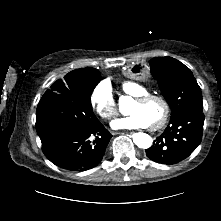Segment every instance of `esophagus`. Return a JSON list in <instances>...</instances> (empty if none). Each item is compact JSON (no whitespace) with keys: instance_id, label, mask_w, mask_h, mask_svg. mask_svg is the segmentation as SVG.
Returning a JSON list of instances; mask_svg holds the SVG:
<instances>
[{"instance_id":"34e87169","label":"esophagus","mask_w":221,"mask_h":221,"mask_svg":"<svg viewBox=\"0 0 221 221\" xmlns=\"http://www.w3.org/2000/svg\"><path fill=\"white\" fill-rule=\"evenodd\" d=\"M112 134H113V135H117V134H120V133H118V132H113ZM130 134H132V132H130Z\"/></svg>"}]
</instances>
